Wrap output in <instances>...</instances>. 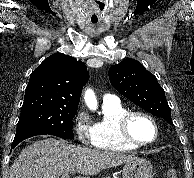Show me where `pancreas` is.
Masks as SVG:
<instances>
[{
	"label": "pancreas",
	"mask_w": 194,
	"mask_h": 178,
	"mask_svg": "<svg viewBox=\"0 0 194 178\" xmlns=\"http://www.w3.org/2000/svg\"><path fill=\"white\" fill-rule=\"evenodd\" d=\"M102 178H110V177H108V176H103Z\"/></svg>",
	"instance_id": "cf45deb5"
}]
</instances>
